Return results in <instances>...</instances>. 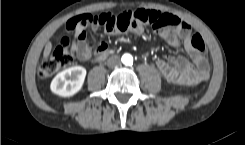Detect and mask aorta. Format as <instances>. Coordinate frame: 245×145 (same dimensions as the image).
<instances>
[{"instance_id":"762f6f07","label":"aorta","mask_w":245,"mask_h":145,"mask_svg":"<svg viewBox=\"0 0 245 145\" xmlns=\"http://www.w3.org/2000/svg\"><path fill=\"white\" fill-rule=\"evenodd\" d=\"M121 61L125 65H132L133 57H132V55L126 53L122 56Z\"/></svg>"}]
</instances>
